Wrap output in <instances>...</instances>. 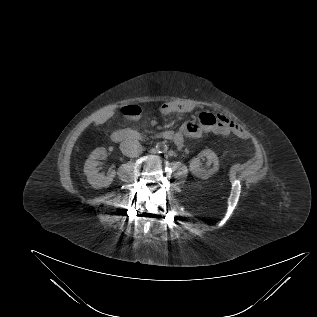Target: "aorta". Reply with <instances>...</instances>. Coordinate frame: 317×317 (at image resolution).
<instances>
[{
    "label": "aorta",
    "mask_w": 317,
    "mask_h": 317,
    "mask_svg": "<svg viewBox=\"0 0 317 317\" xmlns=\"http://www.w3.org/2000/svg\"><path fill=\"white\" fill-rule=\"evenodd\" d=\"M163 147H164L163 145H159L158 149H163Z\"/></svg>",
    "instance_id": "obj_1"
}]
</instances>
